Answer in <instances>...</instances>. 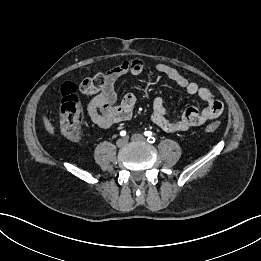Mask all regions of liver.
Instances as JSON below:
<instances>
[{"label": "liver", "mask_w": 261, "mask_h": 261, "mask_svg": "<svg viewBox=\"0 0 261 261\" xmlns=\"http://www.w3.org/2000/svg\"><path fill=\"white\" fill-rule=\"evenodd\" d=\"M43 123H44V127H45L46 131L49 134L54 135V127L51 124L50 120L45 115H43Z\"/></svg>", "instance_id": "6515ba94"}]
</instances>
